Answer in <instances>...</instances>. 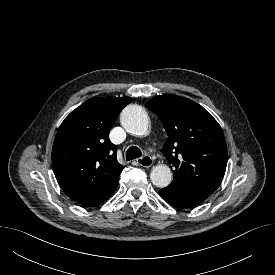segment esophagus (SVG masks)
<instances>
[{
	"label": "esophagus",
	"mask_w": 275,
	"mask_h": 275,
	"mask_svg": "<svg viewBox=\"0 0 275 275\" xmlns=\"http://www.w3.org/2000/svg\"><path fill=\"white\" fill-rule=\"evenodd\" d=\"M137 162L140 166L145 167V168H149L153 164L152 158L148 155L138 158Z\"/></svg>",
	"instance_id": "esophagus-1"
}]
</instances>
